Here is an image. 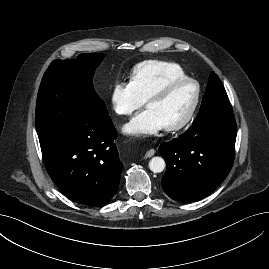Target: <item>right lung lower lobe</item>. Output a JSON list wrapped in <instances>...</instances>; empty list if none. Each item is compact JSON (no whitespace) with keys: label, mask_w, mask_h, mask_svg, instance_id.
<instances>
[{"label":"right lung lower lobe","mask_w":269,"mask_h":269,"mask_svg":"<svg viewBox=\"0 0 269 269\" xmlns=\"http://www.w3.org/2000/svg\"><path fill=\"white\" fill-rule=\"evenodd\" d=\"M116 137L110 120L85 124L40 143L51 179L69 199L96 207L111 200L123 168L114 143Z\"/></svg>","instance_id":"1"}]
</instances>
